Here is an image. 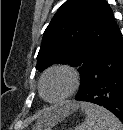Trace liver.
<instances>
[{
  "label": "liver",
  "instance_id": "6515ba94",
  "mask_svg": "<svg viewBox=\"0 0 123 130\" xmlns=\"http://www.w3.org/2000/svg\"><path fill=\"white\" fill-rule=\"evenodd\" d=\"M70 106H74L76 107L75 104L69 103L68 106L66 107H70ZM65 108L62 109H49L48 112H46L37 122L36 124V129H41L44 128L50 130V128L58 121L59 119V115L61 114V112H63Z\"/></svg>",
  "mask_w": 123,
  "mask_h": 130
}]
</instances>
